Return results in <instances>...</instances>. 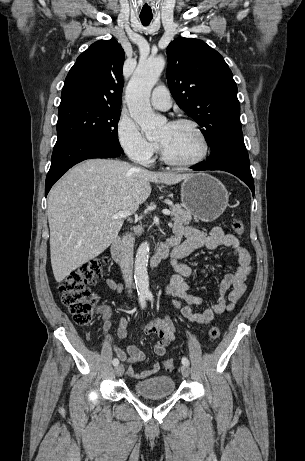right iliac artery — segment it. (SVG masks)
<instances>
[{"mask_svg": "<svg viewBox=\"0 0 305 461\" xmlns=\"http://www.w3.org/2000/svg\"><path fill=\"white\" fill-rule=\"evenodd\" d=\"M139 301H140L141 307L144 308L145 305H146L145 297H143V296L140 297ZM112 363H113L114 366H117L119 364V360L117 358H114Z\"/></svg>", "mask_w": 305, "mask_h": 461, "instance_id": "82829eb1", "label": "right iliac artery"}]
</instances>
